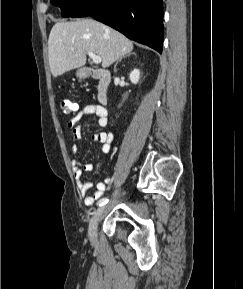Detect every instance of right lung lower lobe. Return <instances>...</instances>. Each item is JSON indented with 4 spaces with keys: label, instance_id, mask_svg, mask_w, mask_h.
<instances>
[{
    "label": "right lung lower lobe",
    "instance_id": "98d812e1",
    "mask_svg": "<svg viewBox=\"0 0 243 289\" xmlns=\"http://www.w3.org/2000/svg\"><path fill=\"white\" fill-rule=\"evenodd\" d=\"M87 16L162 52V0H90L70 17Z\"/></svg>",
    "mask_w": 243,
    "mask_h": 289
}]
</instances>
